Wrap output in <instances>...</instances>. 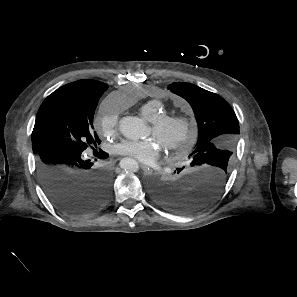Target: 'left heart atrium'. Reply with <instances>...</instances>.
I'll list each match as a JSON object with an SVG mask.
<instances>
[{"label": "left heart atrium", "instance_id": "obj_1", "mask_svg": "<svg viewBox=\"0 0 297 297\" xmlns=\"http://www.w3.org/2000/svg\"><path fill=\"white\" fill-rule=\"evenodd\" d=\"M162 145L155 138L145 140L124 139L115 145V153L127 156L142 164H151L156 161L161 153Z\"/></svg>", "mask_w": 297, "mask_h": 297}]
</instances>
